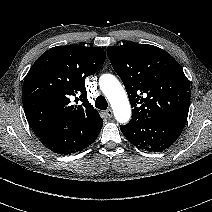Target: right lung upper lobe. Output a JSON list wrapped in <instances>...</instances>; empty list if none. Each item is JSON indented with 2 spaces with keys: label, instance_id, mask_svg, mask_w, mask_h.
<instances>
[{
  "label": "right lung upper lobe",
  "instance_id": "right-lung-upper-lobe-1",
  "mask_svg": "<svg viewBox=\"0 0 212 212\" xmlns=\"http://www.w3.org/2000/svg\"><path fill=\"white\" fill-rule=\"evenodd\" d=\"M105 58L102 48L81 45L56 46L38 58L25 77L22 91L26 118L37 136L75 125L91 128L103 122L87 100L85 78L96 73Z\"/></svg>",
  "mask_w": 212,
  "mask_h": 212
}]
</instances>
